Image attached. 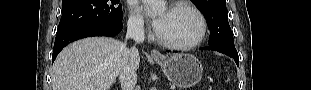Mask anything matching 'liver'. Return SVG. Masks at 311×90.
Here are the masks:
<instances>
[{
	"label": "liver",
	"instance_id": "liver-1",
	"mask_svg": "<svg viewBox=\"0 0 311 90\" xmlns=\"http://www.w3.org/2000/svg\"><path fill=\"white\" fill-rule=\"evenodd\" d=\"M139 52L105 37L76 41L58 55L52 73L53 90H110L125 65L139 67Z\"/></svg>",
	"mask_w": 311,
	"mask_h": 90
}]
</instances>
